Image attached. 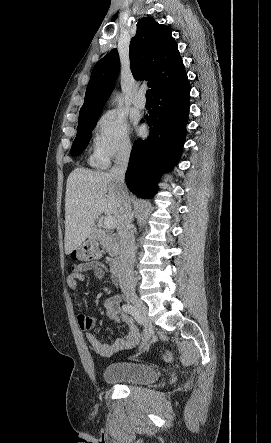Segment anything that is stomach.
Segmentation results:
<instances>
[{"label":"stomach","instance_id":"obj_1","mask_svg":"<svg viewBox=\"0 0 271 443\" xmlns=\"http://www.w3.org/2000/svg\"><path fill=\"white\" fill-rule=\"evenodd\" d=\"M98 231H96V229H94V231H91L90 235H89V239H98Z\"/></svg>","mask_w":271,"mask_h":443}]
</instances>
